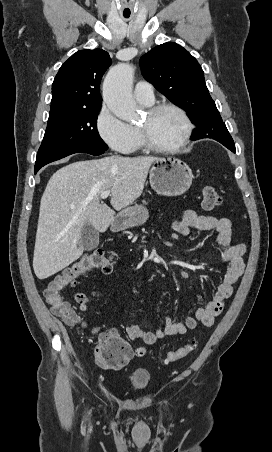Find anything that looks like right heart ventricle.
Instances as JSON below:
<instances>
[{
	"label": "right heart ventricle",
	"instance_id": "obj_1",
	"mask_svg": "<svg viewBox=\"0 0 272 452\" xmlns=\"http://www.w3.org/2000/svg\"><path fill=\"white\" fill-rule=\"evenodd\" d=\"M144 105H146V104H144ZM146 106H149V105H146ZM132 128L134 130V139H133L132 146H131V149L129 152H134L143 146L139 133H138V129L135 127H132Z\"/></svg>",
	"mask_w": 272,
	"mask_h": 452
}]
</instances>
